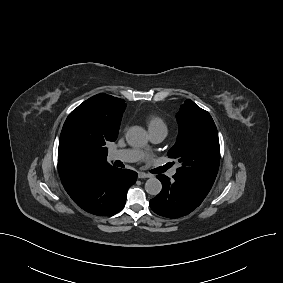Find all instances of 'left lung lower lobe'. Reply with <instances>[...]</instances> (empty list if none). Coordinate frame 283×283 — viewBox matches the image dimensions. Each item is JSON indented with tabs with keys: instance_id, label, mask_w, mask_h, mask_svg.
I'll use <instances>...</instances> for the list:
<instances>
[{
	"instance_id": "1",
	"label": "left lung lower lobe",
	"mask_w": 283,
	"mask_h": 283,
	"mask_svg": "<svg viewBox=\"0 0 283 283\" xmlns=\"http://www.w3.org/2000/svg\"><path fill=\"white\" fill-rule=\"evenodd\" d=\"M157 178L162 183V191L150 200V207L160 216H185L197 208L208 194L193 182L177 175L172 180L163 174L157 175Z\"/></svg>"
}]
</instances>
